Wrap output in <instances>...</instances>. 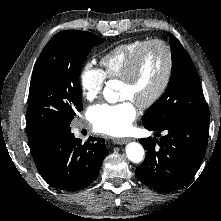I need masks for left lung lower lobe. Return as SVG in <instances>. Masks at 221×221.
<instances>
[{
    "instance_id": "0a47b994",
    "label": "left lung lower lobe",
    "mask_w": 221,
    "mask_h": 221,
    "mask_svg": "<svg viewBox=\"0 0 221 221\" xmlns=\"http://www.w3.org/2000/svg\"><path fill=\"white\" fill-rule=\"evenodd\" d=\"M209 109L206 113L184 115L160 129H146L159 136L140 139L146 150L144 162L136 169L138 179L158 192H171L186 185L196 174L205 155ZM156 143L160 149H155Z\"/></svg>"
}]
</instances>
